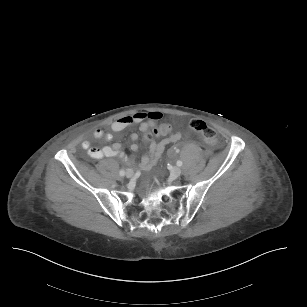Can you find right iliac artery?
<instances>
[{
	"label": "right iliac artery",
	"mask_w": 307,
	"mask_h": 307,
	"mask_svg": "<svg viewBox=\"0 0 307 307\" xmlns=\"http://www.w3.org/2000/svg\"><path fill=\"white\" fill-rule=\"evenodd\" d=\"M119 175H120V176H124V175H125V171H124V170H120V171H119Z\"/></svg>",
	"instance_id": "right-iliac-artery-1"
}]
</instances>
